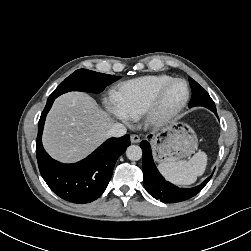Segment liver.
Listing matches in <instances>:
<instances>
[{
  "label": "liver",
  "instance_id": "6515ba94",
  "mask_svg": "<svg viewBox=\"0 0 251 251\" xmlns=\"http://www.w3.org/2000/svg\"><path fill=\"white\" fill-rule=\"evenodd\" d=\"M113 119L97 102L83 92H69L58 97L47 115L43 145L61 162H77L107 137Z\"/></svg>",
  "mask_w": 251,
  "mask_h": 251
}]
</instances>
